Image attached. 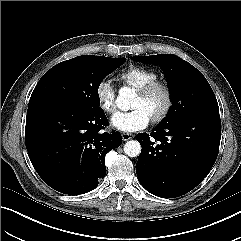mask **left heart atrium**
<instances>
[{"label":"left heart atrium","mask_w":241,"mask_h":241,"mask_svg":"<svg viewBox=\"0 0 241 241\" xmlns=\"http://www.w3.org/2000/svg\"><path fill=\"white\" fill-rule=\"evenodd\" d=\"M115 128L124 132H135L146 128L150 116L142 108H135L128 112H117L111 119Z\"/></svg>","instance_id":"39dd6f15"}]
</instances>
